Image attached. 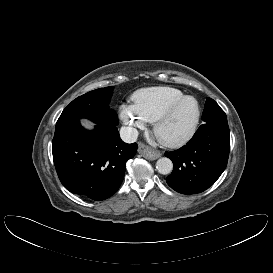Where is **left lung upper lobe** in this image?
<instances>
[{"label":"left lung upper lobe","mask_w":273,"mask_h":273,"mask_svg":"<svg viewBox=\"0 0 273 273\" xmlns=\"http://www.w3.org/2000/svg\"><path fill=\"white\" fill-rule=\"evenodd\" d=\"M202 120L205 124H212L217 122H227V117L225 112L213 99L207 98L202 114Z\"/></svg>","instance_id":"5c2ea615"}]
</instances>
